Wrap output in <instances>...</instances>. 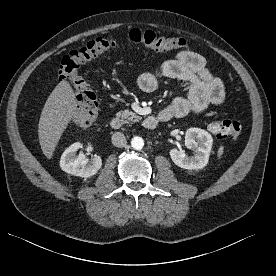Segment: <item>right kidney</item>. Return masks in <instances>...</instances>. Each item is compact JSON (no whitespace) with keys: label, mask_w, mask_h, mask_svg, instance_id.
I'll return each mask as SVG.
<instances>
[{"label":"right kidney","mask_w":276,"mask_h":276,"mask_svg":"<svg viewBox=\"0 0 276 276\" xmlns=\"http://www.w3.org/2000/svg\"><path fill=\"white\" fill-rule=\"evenodd\" d=\"M82 148L80 142L70 145L62 154L60 167L63 171L84 178L91 177L97 173L102 166V159L94 155L91 159L86 158L83 154L75 155L78 149Z\"/></svg>","instance_id":"1"}]
</instances>
